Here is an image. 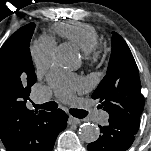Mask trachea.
I'll return each instance as SVG.
<instances>
[{
	"instance_id": "obj_1",
	"label": "trachea",
	"mask_w": 151,
	"mask_h": 151,
	"mask_svg": "<svg viewBox=\"0 0 151 151\" xmlns=\"http://www.w3.org/2000/svg\"><path fill=\"white\" fill-rule=\"evenodd\" d=\"M35 109H44L48 111H52L58 108V104L56 102H47L42 105H34ZM70 113L77 118H84L88 115V112L80 109H70Z\"/></svg>"
}]
</instances>
